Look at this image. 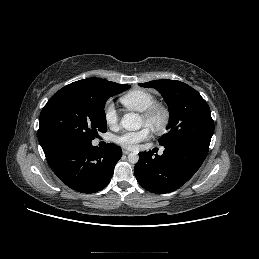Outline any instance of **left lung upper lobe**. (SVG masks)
<instances>
[{"instance_id":"1","label":"left lung upper lobe","mask_w":259,"mask_h":259,"mask_svg":"<svg viewBox=\"0 0 259 259\" xmlns=\"http://www.w3.org/2000/svg\"><path fill=\"white\" fill-rule=\"evenodd\" d=\"M157 89L169 107V130L159 139L161 146L176 142L210 145L214 121L206 101L189 85L177 80H154L139 84Z\"/></svg>"}]
</instances>
